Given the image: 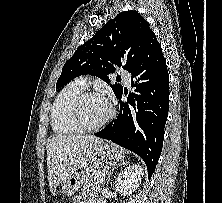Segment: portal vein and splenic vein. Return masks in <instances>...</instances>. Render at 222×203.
I'll return each instance as SVG.
<instances>
[{
  "instance_id": "portal-vein-and-splenic-vein-1",
  "label": "portal vein and splenic vein",
  "mask_w": 222,
  "mask_h": 203,
  "mask_svg": "<svg viewBox=\"0 0 222 203\" xmlns=\"http://www.w3.org/2000/svg\"><path fill=\"white\" fill-rule=\"evenodd\" d=\"M106 169H107V166L104 167V170H105V171H106Z\"/></svg>"
}]
</instances>
